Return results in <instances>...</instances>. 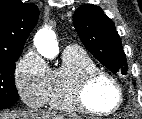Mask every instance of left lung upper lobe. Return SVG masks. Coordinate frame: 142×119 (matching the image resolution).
<instances>
[{
  "mask_svg": "<svg viewBox=\"0 0 142 119\" xmlns=\"http://www.w3.org/2000/svg\"><path fill=\"white\" fill-rule=\"evenodd\" d=\"M78 36L87 50L112 73L127 74L126 56L114 23L96 5H83L73 15Z\"/></svg>",
  "mask_w": 142,
  "mask_h": 119,
  "instance_id": "5c2ea615",
  "label": "left lung upper lobe"
}]
</instances>
